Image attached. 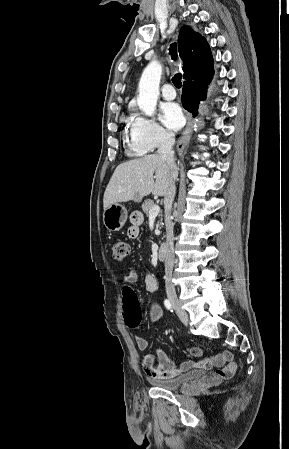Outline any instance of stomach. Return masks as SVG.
Wrapping results in <instances>:
<instances>
[{"instance_id":"stomach-1","label":"stomach","mask_w":289,"mask_h":449,"mask_svg":"<svg viewBox=\"0 0 289 449\" xmlns=\"http://www.w3.org/2000/svg\"><path fill=\"white\" fill-rule=\"evenodd\" d=\"M128 218L126 208L115 203L109 206L103 212V223L109 231H119L125 224Z\"/></svg>"}]
</instances>
